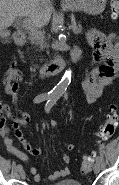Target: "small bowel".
<instances>
[{
    "label": "small bowel",
    "mask_w": 119,
    "mask_h": 185,
    "mask_svg": "<svg viewBox=\"0 0 119 185\" xmlns=\"http://www.w3.org/2000/svg\"><path fill=\"white\" fill-rule=\"evenodd\" d=\"M87 39L94 49L93 62L95 64H99V66L95 67L90 72L89 76L82 82V87L86 93L87 101L92 103L102 95L104 88L111 84L115 78L116 72L119 68V46L114 33L90 30L87 34ZM22 84H30V81L25 79L22 72L16 68L15 63H12L5 72L3 91L12 99V104L18 108L17 92ZM2 110L4 117L1 122V135L4 140V144L10 153L14 154L24 162L29 161L27 153L35 157V162L30 167V171L34 175V180L36 182L53 181L70 175V168L65 167L61 170L55 171L52 175L46 178L41 176L38 173L36 166L41 150L28 143L20 132V126L28 124L31 120L30 116L19 108L21 117L15 118L13 117L8 105H4ZM7 119H11L13 121L12 129L22 144L23 150H19L13 145V140L10 136V129L6 124ZM51 126H57V122L52 121ZM73 149V144L70 143L66 145L67 151H72ZM62 159L65 163H69L71 161V156L68 152H65L62 155Z\"/></svg>",
    "instance_id": "small-bowel-1"
}]
</instances>
